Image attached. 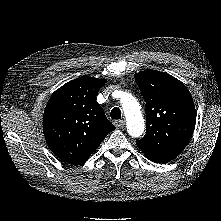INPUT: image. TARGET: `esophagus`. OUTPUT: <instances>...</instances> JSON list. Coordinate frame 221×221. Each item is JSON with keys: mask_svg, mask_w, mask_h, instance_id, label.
I'll return each mask as SVG.
<instances>
[{"mask_svg": "<svg viewBox=\"0 0 221 221\" xmlns=\"http://www.w3.org/2000/svg\"><path fill=\"white\" fill-rule=\"evenodd\" d=\"M114 125L116 126V128H122L125 125V122L124 120H115Z\"/></svg>", "mask_w": 221, "mask_h": 221, "instance_id": "1", "label": "esophagus"}]
</instances>
